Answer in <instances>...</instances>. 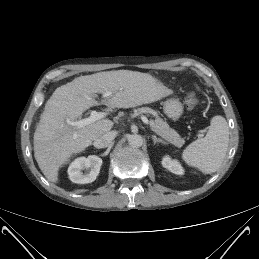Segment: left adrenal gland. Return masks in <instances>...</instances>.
<instances>
[{"mask_svg": "<svg viewBox=\"0 0 259 259\" xmlns=\"http://www.w3.org/2000/svg\"><path fill=\"white\" fill-rule=\"evenodd\" d=\"M152 140H153L154 144H156V143H161V144L166 145V142H165V141H163V140L160 139V138H157L155 135H152Z\"/></svg>", "mask_w": 259, "mask_h": 259, "instance_id": "left-adrenal-gland-1", "label": "left adrenal gland"}]
</instances>
